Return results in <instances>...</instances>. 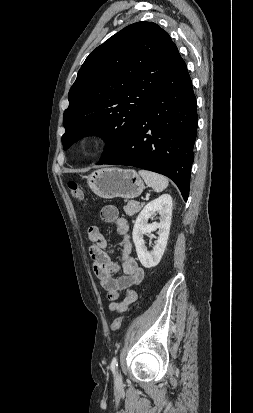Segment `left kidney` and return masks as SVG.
<instances>
[{"instance_id":"5707ae66","label":"left kidney","mask_w":253,"mask_h":413,"mask_svg":"<svg viewBox=\"0 0 253 413\" xmlns=\"http://www.w3.org/2000/svg\"><path fill=\"white\" fill-rule=\"evenodd\" d=\"M172 198L169 194H163L155 200L149 202L138 215L133 228V242L136 247L138 259L145 268H152L159 264L169 237L171 217H172ZM159 212L160 222L148 224V219ZM159 229L158 239L151 251H148L143 235L150 234L153 230Z\"/></svg>"}]
</instances>
